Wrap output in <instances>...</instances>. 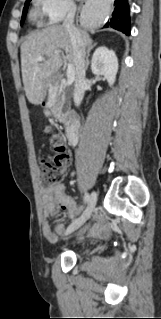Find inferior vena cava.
<instances>
[{
  "mask_svg": "<svg viewBox=\"0 0 161 319\" xmlns=\"http://www.w3.org/2000/svg\"><path fill=\"white\" fill-rule=\"evenodd\" d=\"M76 13V6L70 5L68 13L64 19L63 26L70 35L73 51H74V65L76 68V79L73 99L76 106H79L83 100L85 93V46L80 32L74 26V16Z\"/></svg>",
  "mask_w": 161,
  "mask_h": 319,
  "instance_id": "inferior-vena-cava-1",
  "label": "inferior vena cava"
}]
</instances>
